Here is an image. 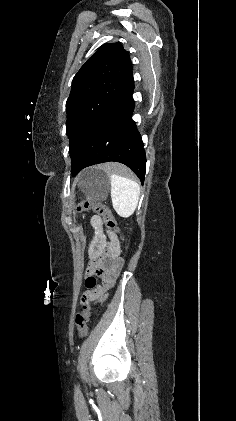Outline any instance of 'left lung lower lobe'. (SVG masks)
Returning <instances> with one entry per match:
<instances>
[{
  "label": "left lung lower lobe",
  "mask_w": 236,
  "mask_h": 421,
  "mask_svg": "<svg viewBox=\"0 0 236 421\" xmlns=\"http://www.w3.org/2000/svg\"><path fill=\"white\" fill-rule=\"evenodd\" d=\"M133 76L124 91L100 116L89 133L78 160L71 167L72 176L83 168L116 161L128 166L144 181L146 156L141 136L132 119L135 101Z\"/></svg>",
  "instance_id": "obj_1"
}]
</instances>
